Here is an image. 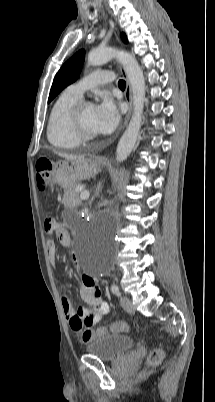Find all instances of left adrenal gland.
I'll return each mask as SVG.
<instances>
[{
  "label": "left adrenal gland",
  "mask_w": 215,
  "mask_h": 402,
  "mask_svg": "<svg viewBox=\"0 0 215 402\" xmlns=\"http://www.w3.org/2000/svg\"><path fill=\"white\" fill-rule=\"evenodd\" d=\"M101 190H102V185H101V182L97 185V188H96V196H98L99 195V193L101 192Z\"/></svg>",
  "instance_id": "1"
}]
</instances>
